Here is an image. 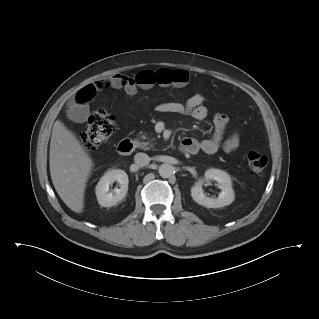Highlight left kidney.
I'll list each match as a JSON object with an SVG mask.
<instances>
[{
	"label": "left kidney",
	"mask_w": 319,
	"mask_h": 319,
	"mask_svg": "<svg viewBox=\"0 0 319 319\" xmlns=\"http://www.w3.org/2000/svg\"><path fill=\"white\" fill-rule=\"evenodd\" d=\"M204 180L217 181L218 188L221 189V193L217 198L207 197L203 193L202 185ZM191 195L195 202L207 208H219L230 205L234 201L231 178L225 171L214 168L208 169L205 172L204 179H199L191 188Z\"/></svg>",
	"instance_id": "obj_1"
}]
</instances>
